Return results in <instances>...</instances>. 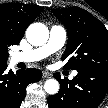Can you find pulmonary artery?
Returning <instances> with one entry per match:
<instances>
[{"mask_svg": "<svg viewBox=\"0 0 108 108\" xmlns=\"http://www.w3.org/2000/svg\"><path fill=\"white\" fill-rule=\"evenodd\" d=\"M66 40V30L64 27L59 25H53L50 29V35L47 43L39 48L16 52L11 57V62L16 64L20 62L28 63L39 61L48 55L59 50L65 43ZM77 71H73L71 77H75Z\"/></svg>", "mask_w": 108, "mask_h": 108, "instance_id": "obj_1", "label": "pulmonary artery"}]
</instances>
